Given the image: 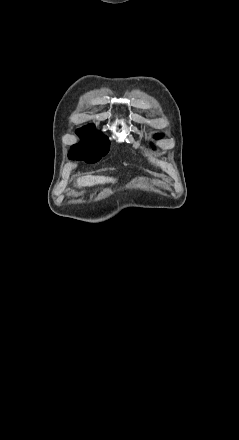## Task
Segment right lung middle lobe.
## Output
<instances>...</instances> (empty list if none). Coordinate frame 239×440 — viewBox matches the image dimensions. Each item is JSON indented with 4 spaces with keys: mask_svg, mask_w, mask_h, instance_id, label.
<instances>
[{
    "mask_svg": "<svg viewBox=\"0 0 239 440\" xmlns=\"http://www.w3.org/2000/svg\"><path fill=\"white\" fill-rule=\"evenodd\" d=\"M82 139L81 143L73 145L70 152L80 149H93L97 152L107 154L110 141L102 133L96 132L95 126L90 124L76 131Z\"/></svg>",
    "mask_w": 239,
    "mask_h": 440,
    "instance_id": "right-lung-middle-lobe-1",
    "label": "right lung middle lobe"
}]
</instances>
